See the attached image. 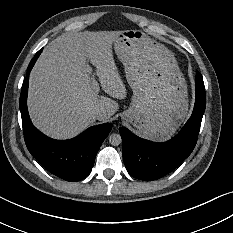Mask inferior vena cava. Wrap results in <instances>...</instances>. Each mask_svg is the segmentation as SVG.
I'll use <instances>...</instances> for the list:
<instances>
[{"instance_id":"602c4592","label":"inferior vena cava","mask_w":233,"mask_h":233,"mask_svg":"<svg viewBox=\"0 0 233 233\" xmlns=\"http://www.w3.org/2000/svg\"><path fill=\"white\" fill-rule=\"evenodd\" d=\"M104 109L101 108V109H96L95 112L93 113V117L94 119H99L101 118L103 115H104Z\"/></svg>"}]
</instances>
